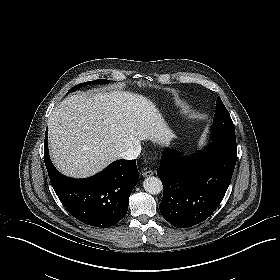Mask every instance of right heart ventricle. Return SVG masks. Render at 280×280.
<instances>
[{"mask_svg":"<svg viewBox=\"0 0 280 280\" xmlns=\"http://www.w3.org/2000/svg\"><path fill=\"white\" fill-rule=\"evenodd\" d=\"M175 104H176V105H179V104H180V102H179V101H176V102H175Z\"/></svg>","mask_w":280,"mask_h":280,"instance_id":"1","label":"right heart ventricle"}]
</instances>
